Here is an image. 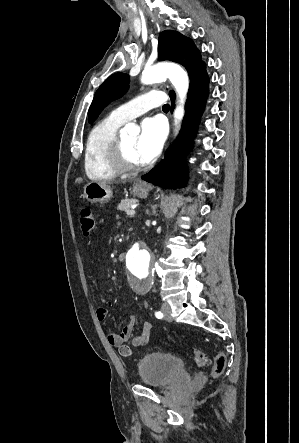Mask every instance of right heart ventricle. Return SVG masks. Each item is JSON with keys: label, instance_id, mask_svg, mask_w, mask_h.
<instances>
[{"label": "right heart ventricle", "instance_id": "e07e8e85", "mask_svg": "<svg viewBox=\"0 0 299 443\" xmlns=\"http://www.w3.org/2000/svg\"><path fill=\"white\" fill-rule=\"evenodd\" d=\"M123 123L109 115L98 122L90 131L84 154V167L89 179L93 181L111 180L118 174L111 167L108 154Z\"/></svg>", "mask_w": 299, "mask_h": 443}]
</instances>
